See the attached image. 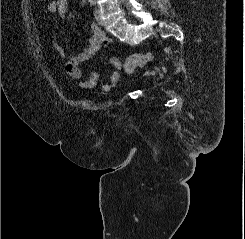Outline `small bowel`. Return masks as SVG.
Masks as SVG:
<instances>
[{"label":"small bowel","instance_id":"obj_1","mask_svg":"<svg viewBox=\"0 0 245 239\" xmlns=\"http://www.w3.org/2000/svg\"><path fill=\"white\" fill-rule=\"evenodd\" d=\"M67 9V0H52L48 5V11L51 14L58 15L63 18ZM91 36L88 39L85 47L72 57L65 60L64 70L66 74L74 81H77L83 89H92L99 82V74L96 71L90 73L88 79H82V72L79 65L90 60L101 48L113 43V40L107 37L101 28L92 23L90 26ZM56 51L64 56V50L56 45ZM107 63L114 67V70L109 73L107 81L101 83L100 88L104 92H109L117 86L120 81L121 73L124 71L122 62L116 57L107 59Z\"/></svg>","mask_w":245,"mask_h":239}]
</instances>
